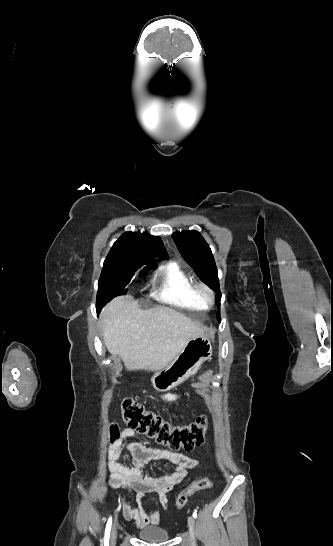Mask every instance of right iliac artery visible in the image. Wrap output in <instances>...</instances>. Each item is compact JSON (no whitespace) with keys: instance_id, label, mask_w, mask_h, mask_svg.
<instances>
[{"instance_id":"1","label":"right iliac artery","mask_w":333,"mask_h":546,"mask_svg":"<svg viewBox=\"0 0 333 546\" xmlns=\"http://www.w3.org/2000/svg\"><path fill=\"white\" fill-rule=\"evenodd\" d=\"M111 525H112V518L110 517L107 524H106L105 536H104V546L109 545Z\"/></svg>"}]
</instances>
